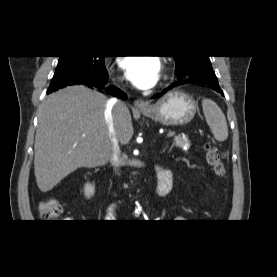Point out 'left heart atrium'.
<instances>
[{"label":"left heart atrium","instance_id":"left-heart-atrium-1","mask_svg":"<svg viewBox=\"0 0 277 277\" xmlns=\"http://www.w3.org/2000/svg\"><path fill=\"white\" fill-rule=\"evenodd\" d=\"M119 64L127 78L141 89L152 87L159 77L160 62L155 57H123Z\"/></svg>","mask_w":277,"mask_h":277}]
</instances>
